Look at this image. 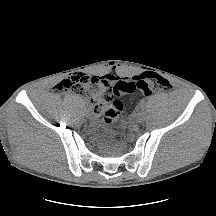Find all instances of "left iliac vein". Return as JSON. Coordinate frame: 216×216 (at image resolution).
<instances>
[{
    "instance_id": "obj_1",
    "label": "left iliac vein",
    "mask_w": 216,
    "mask_h": 216,
    "mask_svg": "<svg viewBox=\"0 0 216 216\" xmlns=\"http://www.w3.org/2000/svg\"><path fill=\"white\" fill-rule=\"evenodd\" d=\"M145 117H146V113L143 109L137 112V114L135 115V119L138 123L143 122L145 120Z\"/></svg>"
}]
</instances>
